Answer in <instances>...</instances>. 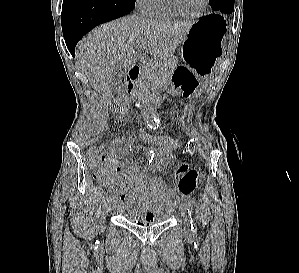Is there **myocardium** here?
<instances>
[{
    "label": "myocardium",
    "instance_id": "f54148a6",
    "mask_svg": "<svg viewBox=\"0 0 299 273\" xmlns=\"http://www.w3.org/2000/svg\"><path fill=\"white\" fill-rule=\"evenodd\" d=\"M167 2L169 4L170 8L175 13H177L178 15H181L183 17H186V18H198V17L202 16L204 14V12L206 11L208 4H209V0H203V5L198 12L187 13L178 5L176 0H167Z\"/></svg>",
    "mask_w": 299,
    "mask_h": 273
}]
</instances>
